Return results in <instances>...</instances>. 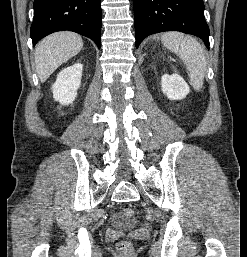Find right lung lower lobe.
<instances>
[{
    "label": "right lung lower lobe",
    "mask_w": 247,
    "mask_h": 257,
    "mask_svg": "<svg viewBox=\"0 0 247 257\" xmlns=\"http://www.w3.org/2000/svg\"><path fill=\"white\" fill-rule=\"evenodd\" d=\"M30 36L33 45L50 33L69 30L100 48L101 0H35Z\"/></svg>",
    "instance_id": "98d812e1"
}]
</instances>
